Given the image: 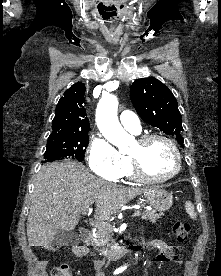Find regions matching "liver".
Masks as SVG:
<instances>
[{
    "label": "liver",
    "mask_w": 221,
    "mask_h": 276,
    "mask_svg": "<svg viewBox=\"0 0 221 276\" xmlns=\"http://www.w3.org/2000/svg\"><path fill=\"white\" fill-rule=\"evenodd\" d=\"M148 189L123 187L91 174L81 163H48L37 174L27 219L29 246H49L58 229L72 231L80 214L96 204L94 218L109 219Z\"/></svg>",
    "instance_id": "6515ba94"
}]
</instances>
